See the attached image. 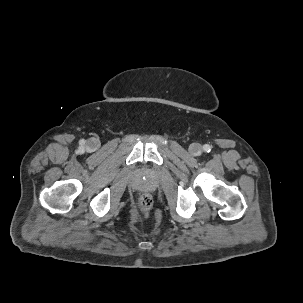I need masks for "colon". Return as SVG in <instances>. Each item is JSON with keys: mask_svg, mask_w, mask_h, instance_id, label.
Wrapping results in <instances>:
<instances>
[{"mask_svg": "<svg viewBox=\"0 0 303 303\" xmlns=\"http://www.w3.org/2000/svg\"><path fill=\"white\" fill-rule=\"evenodd\" d=\"M152 198L149 194H143L140 198V209L144 214H148L152 208Z\"/></svg>", "mask_w": 303, "mask_h": 303, "instance_id": "1", "label": "colon"}]
</instances>
